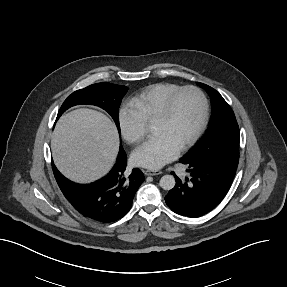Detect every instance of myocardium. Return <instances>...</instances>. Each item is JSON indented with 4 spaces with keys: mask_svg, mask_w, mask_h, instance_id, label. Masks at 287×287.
<instances>
[{
    "mask_svg": "<svg viewBox=\"0 0 287 287\" xmlns=\"http://www.w3.org/2000/svg\"><path fill=\"white\" fill-rule=\"evenodd\" d=\"M189 91L196 93L200 99V102H201V118H200V122H199L197 128L195 129V131L192 133V135L189 137V139L179 148L180 152L186 151L191 146H193L195 144V142L199 139V137L201 136V134L203 133V131L207 125L208 117H209V104H208V99H207L206 95L204 94V92L196 86H185V87L179 88L177 91L172 93L167 98V100L165 101V103L162 107V110L160 111V113L157 115V117L153 121V123L166 122L171 115L173 105H174L175 101L177 100V98L181 94H183L185 92H189Z\"/></svg>",
    "mask_w": 287,
    "mask_h": 287,
    "instance_id": "1",
    "label": "myocardium"
}]
</instances>
